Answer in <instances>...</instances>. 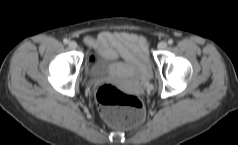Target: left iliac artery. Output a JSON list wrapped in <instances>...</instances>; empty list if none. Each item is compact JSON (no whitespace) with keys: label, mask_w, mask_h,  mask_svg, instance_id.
<instances>
[{"label":"left iliac artery","mask_w":238,"mask_h":145,"mask_svg":"<svg viewBox=\"0 0 238 145\" xmlns=\"http://www.w3.org/2000/svg\"><path fill=\"white\" fill-rule=\"evenodd\" d=\"M168 44H169V45H172V44H173V40H172V39H169V40H168Z\"/></svg>","instance_id":"left-iliac-artery-1"}]
</instances>
